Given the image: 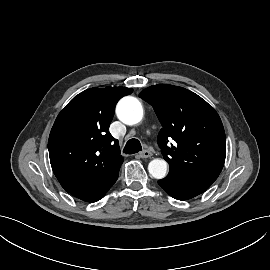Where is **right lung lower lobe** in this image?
Wrapping results in <instances>:
<instances>
[{"label": "right lung lower lobe", "instance_id": "obj_1", "mask_svg": "<svg viewBox=\"0 0 270 270\" xmlns=\"http://www.w3.org/2000/svg\"><path fill=\"white\" fill-rule=\"evenodd\" d=\"M119 170L113 176L105 181L95 184L90 187L82 188L70 192L76 198L86 202H96L100 200L106 192L112 187L118 178Z\"/></svg>", "mask_w": 270, "mask_h": 270}]
</instances>
